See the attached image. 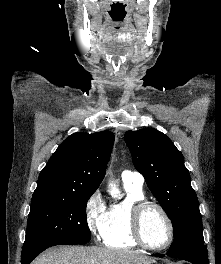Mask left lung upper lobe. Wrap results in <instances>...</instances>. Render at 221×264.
Listing matches in <instances>:
<instances>
[{
	"mask_svg": "<svg viewBox=\"0 0 221 264\" xmlns=\"http://www.w3.org/2000/svg\"><path fill=\"white\" fill-rule=\"evenodd\" d=\"M124 138L135 168L172 222L174 240L170 249L204 245L198 198L182 153L165 134L153 128L127 131Z\"/></svg>",
	"mask_w": 221,
	"mask_h": 264,
	"instance_id": "5c2ea615",
	"label": "left lung upper lobe"
}]
</instances>
